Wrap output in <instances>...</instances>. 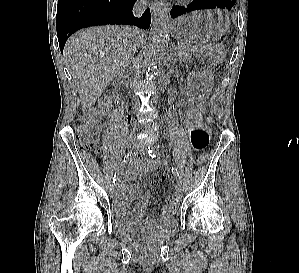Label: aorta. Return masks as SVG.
<instances>
[{
	"label": "aorta",
	"mask_w": 299,
	"mask_h": 273,
	"mask_svg": "<svg viewBox=\"0 0 299 273\" xmlns=\"http://www.w3.org/2000/svg\"><path fill=\"white\" fill-rule=\"evenodd\" d=\"M169 34L168 9H161L158 18L154 21L147 43L144 59L147 66V77H153L165 55Z\"/></svg>",
	"instance_id": "obj_1"
}]
</instances>
